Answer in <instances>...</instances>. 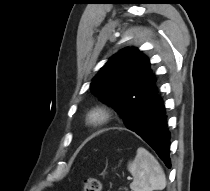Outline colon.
Listing matches in <instances>:
<instances>
[{
	"instance_id": "colon-1",
	"label": "colon",
	"mask_w": 210,
	"mask_h": 191,
	"mask_svg": "<svg viewBox=\"0 0 210 191\" xmlns=\"http://www.w3.org/2000/svg\"><path fill=\"white\" fill-rule=\"evenodd\" d=\"M83 191H102L101 181L96 177H86L83 180Z\"/></svg>"
}]
</instances>
